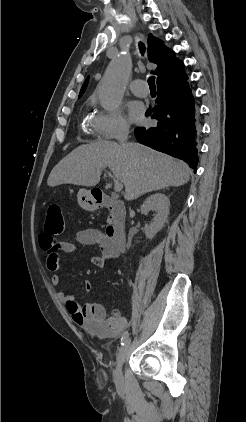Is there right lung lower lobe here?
Returning a JSON list of instances; mask_svg holds the SVG:
<instances>
[{
    "instance_id": "98d812e1",
    "label": "right lung lower lobe",
    "mask_w": 246,
    "mask_h": 422,
    "mask_svg": "<svg viewBox=\"0 0 246 422\" xmlns=\"http://www.w3.org/2000/svg\"><path fill=\"white\" fill-rule=\"evenodd\" d=\"M187 74L158 85L156 106L146 116L157 119L149 129L136 128L141 144L183 160L196 172L198 164L199 118Z\"/></svg>"
}]
</instances>
